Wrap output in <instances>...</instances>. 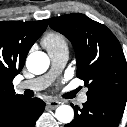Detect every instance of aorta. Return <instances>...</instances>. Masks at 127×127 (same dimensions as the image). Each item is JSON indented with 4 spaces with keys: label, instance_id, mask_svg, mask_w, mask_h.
<instances>
[{
    "label": "aorta",
    "instance_id": "aorta-1",
    "mask_svg": "<svg viewBox=\"0 0 127 127\" xmlns=\"http://www.w3.org/2000/svg\"><path fill=\"white\" fill-rule=\"evenodd\" d=\"M50 64L47 54L41 51L32 52L26 60L27 69L36 75L46 72ZM55 117L61 123H70L74 117L73 108L69 105H60L55 112Z\"/></svg>",
    "mask_w": 127,
    "mask_h": 127
}]
</instances>
